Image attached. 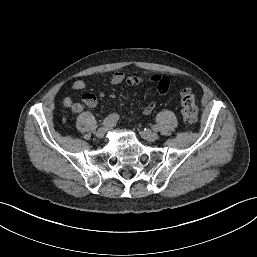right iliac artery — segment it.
Returning <instances> with one entry per match:
<instances>
[{"mask_svg": "<svg viewBox=\"0 0 257 257\" xmlns=\"http://www.w3.org/2000/svg\"><path fill=\"white\" fill-rule=\"evenodd\" d=\"M119 120V115L118 114H111L108 117H106L103 122L101 123L102 126H113L117 123Z\"/></svg>", "mask_w": 257, "mask_h": 257, "instance_id": "82829eb1", "label": "right iliac artery"}]
</instances>
